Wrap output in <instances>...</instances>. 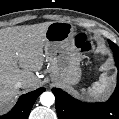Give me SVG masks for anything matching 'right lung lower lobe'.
Here are the masks:
<instances>
[{"label":"right lung lower lobe","mask_w":119,"mask_h":119,"mask_svg":"<svg viewBox=\"0 0 119 119\" xmlns=\"http://www.w3.org/2000/svg\"><path fill=\"white\" fill-rule=\"evenodd\" d=\"M43 91H45L44 88H39L22 95L15 107L8 114L0 116V119H27L36 99Z\"/></svg>","instance_id":"right-lung-lower-lobe-1"}]
</instances>
